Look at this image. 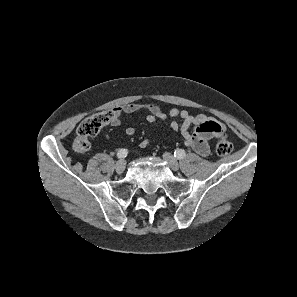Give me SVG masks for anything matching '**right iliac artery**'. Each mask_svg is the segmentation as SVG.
<instances>
[{
  "instance_id": "82829eb1",
  "label": "right iliac artery",
  "mask_w": 297,
  "mask_h": 297,
  "mask_svg": "<svg viewBox=\"0 0 297 297\" xmlns=\"http://www.w3.org/2000/svg\"><path fill=\"white\" fill-rule=\"evenodd\" d=\"M127 154H128L127 149H120L117 152V157L123 159V158H125L127 156Z\"/></svg>"
}]
</instances>
